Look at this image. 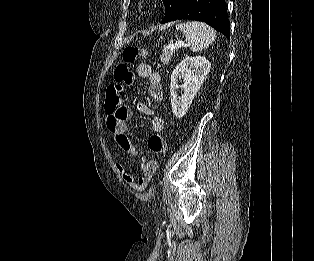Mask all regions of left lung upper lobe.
Wrapping results in <instances>:
<instances>
[{
	"mask_svg": "<svg viewBox=\"0 0 314 261\" xmlns=\"http://www.w3.org/2000/svg\"><path fill=\"white\" fill-rule=\"evenodd\" d=\"M184 0H163L165 5V18L161 23H166L175 15Z\"/></svg>",
	"mask_w": 314,
	"mask_h": 261,
	"instance_id": "1",
	"label": "left lung upper lobe"
}]
</instances>
